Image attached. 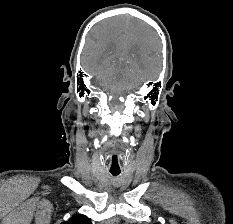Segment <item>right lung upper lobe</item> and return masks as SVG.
<instances>
[{
  "mask_svg": "<svg viewBox=\"0 0 233 224\" xmlns=\"http://www.w3.org/2000/svg\"><path fill=\"white\" fill-rule=\"evenodd\" d=\"M61 224H91V221L85 215L76 214L72 216L68 221L62 222Z\"/></svg>",
  "mask_w": 233,
  "mask_h": 224,
  "instance_id": "1",
  "label": "right lung upper lobe"
}]
</instances>
